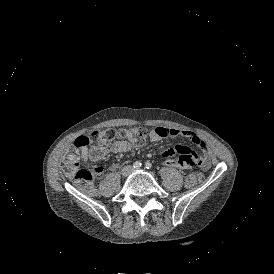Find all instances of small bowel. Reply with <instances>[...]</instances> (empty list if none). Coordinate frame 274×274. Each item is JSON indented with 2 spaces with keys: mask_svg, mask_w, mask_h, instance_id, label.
<instances>
[{
  "mask_svg": "<svg viewBox=\"0 0 274 274\" xmlns=\"http://www.w3.org/2000/svg\"><path fill=\"white\" fill-rule=\"evenodd\" d=\"M185 137L196 144L202 151L203 157L199 159L197 152L188 147L170 146L162 154L163 162L170 168L184 167L186 170H197L200 166L207 168L210 166L209 150L204 140L192 131L170 129L166 127H156L150 131L149 139L152 142H158L166 137ZM131 149V144L126 140H117L107 148L103 145H93L91 147L83 146L79 149L84 161L96 162L101 160L108 151L112 153H122Z\"/></svg>",
  "mask_w": 274,
  "mask_h": 274,
  "instance_id": "1",
  "label": "small bowel"
}]
</instances>
